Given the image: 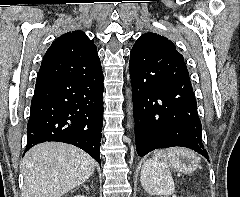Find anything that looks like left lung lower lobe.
<instances>
[{"instance_id":"obj_1","label":"left lung lower lobe","mask_w":240,"mask_h":197,"mask_svg":"<svg viewBox=\"0 0 240 197\" xmlns=\"http://www.w3.org/2000/svg\"><path fill=\"white\" fill-rule=\"evenodd\" d=\"M130 76L138 155L181 146L209 161L190 79L155 70L145 73L130 69Z\"/></svg>"}]
</instances>
